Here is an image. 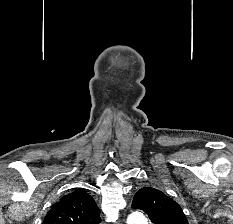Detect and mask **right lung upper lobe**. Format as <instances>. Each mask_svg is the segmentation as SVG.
<instances>
[{"label":"right lung upper lobe","instance_id":"1","mask_svg":"<svg viewBox=\"0 0 233 224\" xmlns=\"http://www.w3.org/2000/svg\"><path fill=\"white\" fill-rule=\"evenodd\" d=\"M100 213L94 199L83 189L63 196L45 216L43 224H99Z\"/></svg>","mask_w":233,"mask_h":224}]
</instances>
